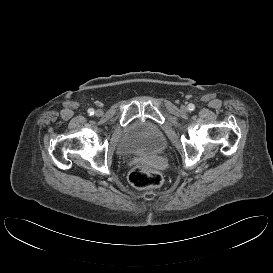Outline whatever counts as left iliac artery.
<instances>
[{
  "instance_id": "obj_1",
  "label": "left iliac artery",
  "mask_w": 273,
  "mask_h": 273,
  "mask_svg": "<svg viewBox=\"0 0 273 273\" xmlns=\"http://www.w3.org/2000/svg\"><path fill=\"white\" fill-rule=\"evenodd\" d=\"M194 108H195V106H194L193 104H189V105H188V109H189V110L192 111V110H194Z\"/></svg>"
}]
</instances>
